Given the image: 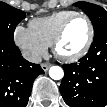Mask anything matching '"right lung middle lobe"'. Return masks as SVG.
<instances>
[{"mask_svg": "<svg viewBox=\"0 0 107 107\" xmlns=\"http://www.w3.org/2000/svg\"><path fill=\"white\" fill-rule=\"evenodd\" d=\"M25 18L19 9L0 3V43L14 46L13 34L17 24Z\"/></svg>", "mask_w": 107, "mask_h": 107, "instance_id": "right-lung-middle-lobe-1", "label": "right lung middle lobe"}]
</instances>
